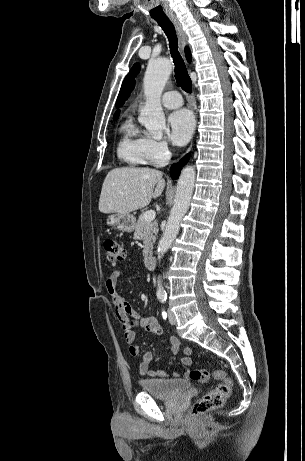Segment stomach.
<instances>
[{"label": "stomach", "mask_w": 305, "mask_h": 461, "mask_svg": "<svg viewBox=\"0 0 305 461\" xmlns=\"http://www.w3.org/2000/svg\"><path fill=\"white\" fill-rule=\"evenodd\" d=\"M106 223L110 227L130 233L135 229L136 219L131 214L114 213L107 217Z\"/></svg>", "instance_id": "obj_1"}]
</instances>
